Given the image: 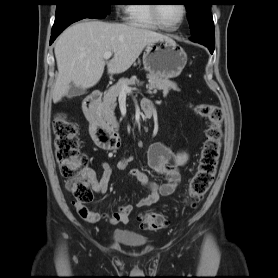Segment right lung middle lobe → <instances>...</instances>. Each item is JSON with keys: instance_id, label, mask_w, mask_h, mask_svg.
I'll return each mask as SVG.
<instances>
[{"instance_id": "dd1d6c3e", "label": "right lung middle lobe", "mask_w": 278, "mask_h": 278, "mask_svg": "<svg viewBox=\"0 0 278 278\" xmlns=\"http://www.w3.org/2000/svg\"><path fill=\"white\" fill-rule=\"evenodd\" d=\"M112 0H56L53 27L78 18L103 19L110 13Z\"/></svg>"}]
</instances>
